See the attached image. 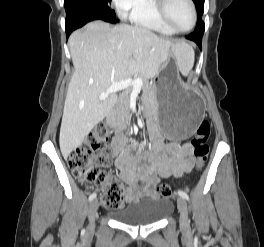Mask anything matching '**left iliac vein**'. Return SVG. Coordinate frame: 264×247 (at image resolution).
Listing matches in <instances>:
<instances>
[{
  "label": "left iliac vein",
  "instance_id": "left-iliac-vein-1",
  "mask_svg": "<svg viewBox=\"0 0 264 247\" xmlns=\"http://www.w3.org/2000/svg\"><path fill=\"white\" fill-rule=\"evenodd\" d=\"M177 205L180 212V225L182 229L189 228L187 202L183 197L177 198Z\"/></svg>",
  "mask_w": 264,
  "mask_h": 247
}]
</instances>
